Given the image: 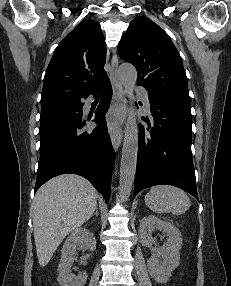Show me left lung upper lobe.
Masks as SVG:
<instances>
[{"label": "left lung upper lobe", "mask_w": 231, "mask_h": 286, "mask_svg": "<svg viewBox=\"0 0 231 286\" xmlns=\"http://www.w3.org/2000/svg\"><path fill=\"white\" fill-rule=\"evenodd\" d=\"M120 57L132 63L137 84L149 92L190 101L181 57L171 39L146 17H136L118 45Z\"/></svg>", "instance_id": "obj_1"}]
</instances>
